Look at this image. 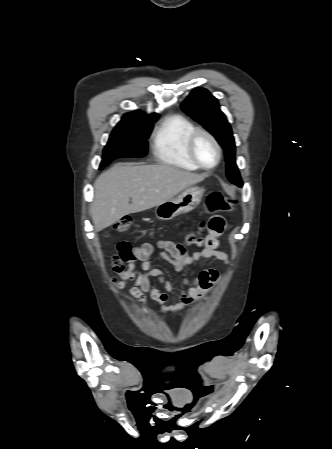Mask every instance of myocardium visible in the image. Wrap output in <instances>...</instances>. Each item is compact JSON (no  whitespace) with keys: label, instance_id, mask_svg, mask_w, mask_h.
Segmentation results:
<instances>
[{"label":"myocardium","instance_id":"1","mask_svg":"<svg viewBox=\"0 0 332 449\" xmlns=\"http://www.w3.org/2000/svg\"><path fill=\"white\" fill-rule=\"evenodd\" d=\"M201 136H204V137L208 138V139L212 142V144L214 145V147H215V149H216V153H217L216 161H215L212 165H210V166L204 165V164L199 160V158L197 157L196 152H195V144H196V141H197V139H198L199 137H201ZM186 148H187V153H188L190 159L192 160V162H193L198 168L203 169V170H211V169H214V168L219 164V162H220V160H221V157H222V149H221V146H220L218 140L215 138V136H214L211 132H209V131L206 130V129L196 128V129L189 135V137H188V139H187V145H186Z\"/></svg>","mask_w":332,"mask_h":449}]
</instances>
